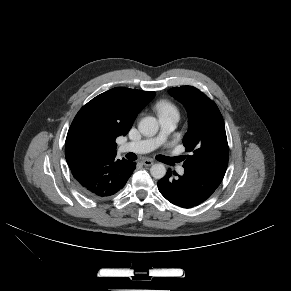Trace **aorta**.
<instances>
[{
    "label": "aorta",
    "mask_w": 291,
    "mask_h": 291,
    "mask_svg": "<svg viewBox=\"0 0 291 291\" xmlns=\"http://www.w3.org/2000/svg\"><path fill=\"white\" fill-rule=\"evenodd\" d=\"M138 130L144 136H154L159 130L157 119L152 116L144 117L138 124ZM150 173L155 179H161L166 174V168L163 164L157 163L151 166Z\"/></svg>",
    "instance_id": "1"
}]
</instances>
